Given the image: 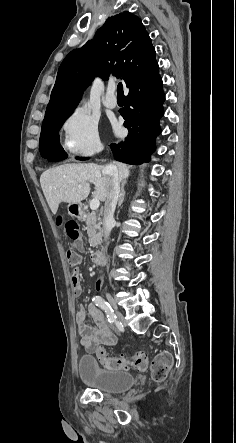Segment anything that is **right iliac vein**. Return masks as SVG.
Instances as JSON below:
<instances>
[{
  "label": "right iliac vein",
  "instance_id": "right-iliac-vein-1",
  "mask_svg": "<svg viewBox=\"0 0 236 443\" xmlns=\"http://www.w3.org/2000/svg\"><path fill=\"white\" fill-rule=\"evenodd\" d=\"M116 316L119 321L124 322V316L120 312L116 311Z\"/></svg>",
  "mask_w": 236,
  "mask_h": 443
}]
</instances>
